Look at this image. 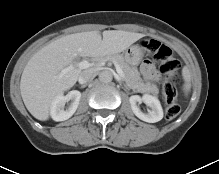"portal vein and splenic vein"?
<instances>
[{
	"label": "portal vein and splenic vein",
	"instance_id": "portal-vein-and-splenic-vein-1",
	"mask_svg": "<svg viewBox=\"0 0 219 174\" xmlns=\"http://www.w3.org/2000/svg\"><path fill=\"white\" fill-rule=\"evenodd\" d=\"M113 63H114V66L116 68L117 73L120 75V77L123 78L124 77V73H123L122 68L120 67V65L116 61H113ZM101 64H103V63H101ZM92 65H93L92 63H89L87 61H81V62H78L76 64H71V65H69L68 67L64 68L61 71L59 77L64 76L67 72L73 70L74 68L87 69V68H89Z\"/></svg>",
	"mask_w": 219,
	"mask_h": 174
}]
</instances>
